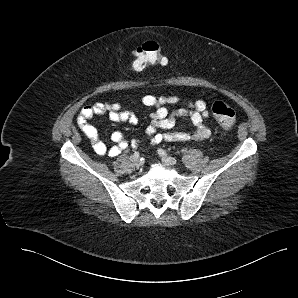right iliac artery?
Wrapping results in <instances>:
<instances>
[{
  "instance_id": "1",
  "label": "right iliac artery",
  "mask_w": 298,
  "mask_h": 298,
  "mask_svg": "<svg viewBox=\"0 0 298 298\" xmlns=\"http://www.w3.org/2000/svg\"><path fill=\"white\" fill-rule=\"evenodd\" d=\"M134 156H137L138 157L139 156V153L138 152H135L134 153Z\"/></svg>"
}]
</instances>
